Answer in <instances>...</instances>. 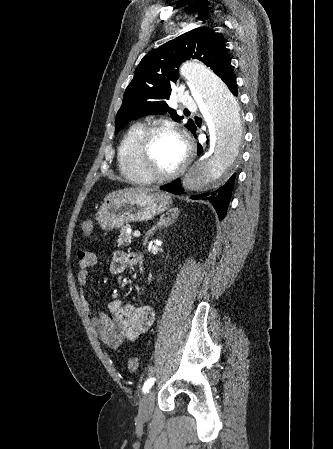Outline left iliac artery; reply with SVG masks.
I'll return each mask as SVG.
<instances>
[{
    "mask_svg": "<svg viewBox=\"0 0 333 449\" xmlns=\"http://www.w3.org/2000/svg\"><path fill=\"white\" fill-rule=\"evenodd\" d=\"M155 378L154 377H150L148 378L142 388V391L144 394L149 392V389L152 387V385L154 384Z\"/></svg>",
    "mask_w": 333,
    "mask_h": 449,
    "instance_id": "1",
    "label": "left iliac artery"
}]
</instances>
